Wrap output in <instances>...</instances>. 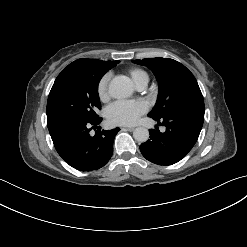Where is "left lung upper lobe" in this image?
Here are the masks:
<instances>
[{
	"instance_id": "left-lung-upper-lobe-1",
	"label": "left lung upper lobe",
	"mask_w": 247,
	"mask_h": 247,
	"mask_svg": "<svg viewBox=\"0 0 247 247\" xmlns=\"http://www.w3.org/2000/svg\"><path fill=\"white\" fill-rule=\"evenodd\" d=\"M151 69L159 82V95L153 110V119H162L171 113L205 112L204 100L193 74L181 63L169 58L134 60Z\"/></svg>"
}]
</instances>
